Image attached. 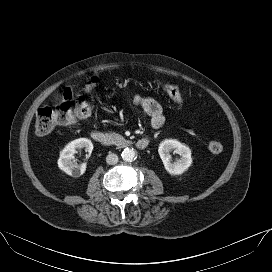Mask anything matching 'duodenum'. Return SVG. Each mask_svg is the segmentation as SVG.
I'll list each match as a JSON object with an SVG mask.
<instances>
[{
	"label": "duodenum",
	"mask_w": 272,
	"mask_h": 272,
	"mask_svg": "<svg viewBox=\"0 0 272 272\" xmlns=\"http://www.w3.org/2000/svg\"><path fill=\"white\" fill-rule=\"evenodd\" d=\"M93 140L100 145L110 146L112 143L111 137L104 131L94 130L91 134ZM150 145L149 138H141L136 141V147L139 150H144Z\"/></svg>",
	"instance_id": "duodenum-1"
}]
</instances>
